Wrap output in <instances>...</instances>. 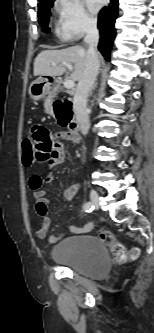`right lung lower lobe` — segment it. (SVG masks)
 Returning a JSON list of instances; mask_svg holds the SVG:
<instances>
[{"label": "right lung lower lobe", "mask_w": 154, "mask_h": 333, "mask_svg": "<svg viewBox=\"0 0 154 333\" xmlns=\"http://www.w3.org/2000/svg\"><path fill=\"white\" fill-rule=\"evenodd\" d=\"M118 13V0H111L108 7H104L99 14L98 28L100 29V42L98 49L106 60H109L110 50L115 35L114 23Z\"/></svg>", "instance_id": "98d812e1"}]
</instances>
